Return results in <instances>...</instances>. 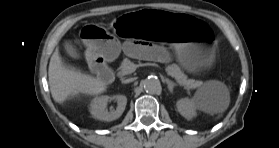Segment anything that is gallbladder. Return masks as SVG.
Returning <instances> with one entry per match:
<instances>
[{
	"mask_svg": "<svg viewBox=\"0 0 279 148\" xmlns=\"http://www.w3.org/2000/svg\"><path fill=\"white\" fill-rule=\"evenodd\" d=\"M64 49L70 57L75 58V59L80 58V54H79L78 50L75 48V46L71 42L66 41L64 43Z\"/></svg>",
	"mask_w": 279,
	"mask_h": 148,
	"instance_id": "bac80fb5",
	"label": "gallbladder"
}]
</instances>
